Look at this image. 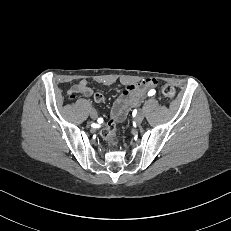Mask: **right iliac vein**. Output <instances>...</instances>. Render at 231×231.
I'll return each instance as SVG.
<instances>
[{
  "label": "right iliac vein",
  "instance_id": "right-iliac-vein-1",
  "mask_svg": "<svg viewBox=\"0 0 231 231\" xmlns=\"http://www.w3.org/2000/svg\"><path fill=\"white\" fill-rule=\"evenodd\" d=\"M90 117L93 119V120H96L98 115H97V111L95 109H91L90 111Z\"/></svg>",
  "mask_w": 231,
  "mask_h": 231
}]
</instances>
